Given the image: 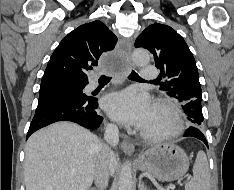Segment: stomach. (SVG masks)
Segmentation results:
<instances>
[{
  "mask_svg": "<svg viewBox=\"0 0 234 190\" xmlns=\"http://www.w3.org/2000/svg\"><path fill=\"white\" fill-rule=\"evenodd\" d=\"M137 166L159 181H174L183 177L188 171L189 158L178 145L160 143L141 153Z\"/></svg>",
  "mask_w": 234,
  "mask_h": 190,
  "instance_id": "0dacf381",
  "label": "stomach"
}]
</instances>
